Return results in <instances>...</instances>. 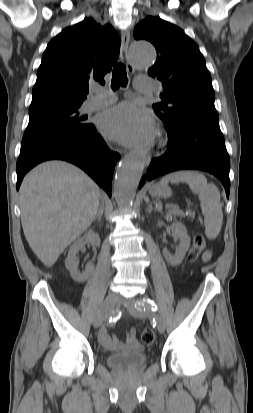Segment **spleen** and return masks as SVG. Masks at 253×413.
<instances>
[{"instance_id": "obj_1", "label": "spleen", "mask_w": 253, "mask_h": 413, "mask_svg": "<svg viewBox=\"0 0 253 413\" xmlns=\"http://www.w3.org/2000/svg\"><path fill=\"white\" fill-rule=\"evenodd\" d=\"M178 184L187 183L194 194H198L200 206L204 215L205 234L209 239L216 238L223 223V212L220 203V193L213 183H207L206 177L197 171H177L166 175L160 181Z\"/></svg>"}]
</instances>
